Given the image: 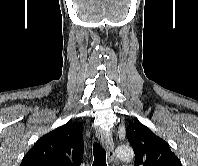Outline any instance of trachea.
I'll return each mask as SVG.
<instances>
[{"instance_id":"1","label":"trachea","mask_w":198,"mask_h":166,"mask_svg":"<svg viewBox=\"0 0 198 166\" xmlns=\"http://www.w3.org/2000/svg\"><path fill=\"white\" fill-rule=\"evenodd\" d=\"M93 155H94V161H93L92 166H107V164H106V151L97 142L94 143V146H93Z\"/></svg>"}]
</instances>
